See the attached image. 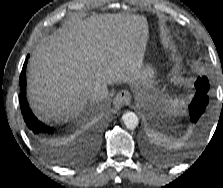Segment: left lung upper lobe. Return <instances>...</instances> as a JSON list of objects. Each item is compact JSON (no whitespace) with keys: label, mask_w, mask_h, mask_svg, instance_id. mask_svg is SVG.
<instances>
[{"label":"left lung upper lobe","mask_w":223,"mask_h":188,"mask_svg":"<svg viewBox=\"0 0 223 188\" xmlns=\"http://www.w3.org/2000/svg\"><path fill=\"white\" fill-rule=\"evenodd\" d=\"M195 87L196 89L202 90L204 92H208L209 82H208L207 77L206 76L198 77L197 81L195 82ZM149 155L153 160H156V161H161V160L166 159V157H164L163 155L157 152L150 151Z\"/></svg>","instance_id":"5c2ea615"}]
</instances>
